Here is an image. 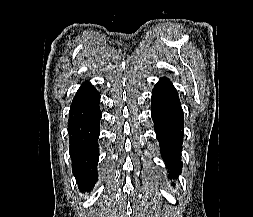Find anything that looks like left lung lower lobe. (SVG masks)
<instances>
[{
    "label": "left lung lower lobe",
    "instance_id": "left-lung-lower-lobe-1",
    "mask_svg": "<svg viewBox=\"0 0 253 217\" xmlns=\"http://www.w3.org/2000/svg\"><path fill=\"white\" fill-rule=\"evenodd\" d=\"M151 115L162 158L176 177L181 173L180 148L183 142V111L178 93L167 79H161L152 92Z\"/></svg>",
    "mask_w": 253,
    "mask_h": 217
}]
</instances>
